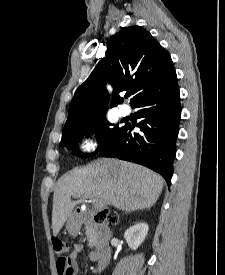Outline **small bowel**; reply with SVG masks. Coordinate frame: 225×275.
Instances as JSON below:
<instances>
[{
  "mask_svg": "<svg viewBox=\"0 0 225 275\" xmlns=\"http://www.w3.org/2000/svg\"><path fill=\"white\" fill-rule=\"evenodd\" d=\"M84 249L83 244H76L73 248V251L70 253L68 257V262L71 267L70 275H76L79 270V256L82 250Z\"/></svg>",
  "mask_w": 225,
  "mask_h": 275,
  "instance_id": "c3829d8e",
  "label": "small bowel"
}]
</instances>
